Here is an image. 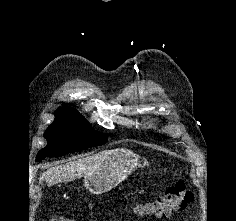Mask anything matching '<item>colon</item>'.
Returning <instances> with one entry per match:
<instances>
[{
  "label": "colon",
  "instance_id": "obj_1",
  "mask_svg": "<svg viewBox=\"0 0 236 221\" xmlns=\"http://www.w3.org/2000/svg\"><path fill=\"white\" fill-rule=\"evenodd\" d=\"M193 200V193L184 182H177L170 186L159 197L136 205L134 212L140 216L168 217L175 212L182 211ZM49 221H74L60 216Z\"/></svg>",
  "mask_w": 236,
  "mask_h": 221
}]
</instances>
